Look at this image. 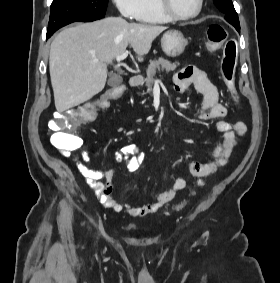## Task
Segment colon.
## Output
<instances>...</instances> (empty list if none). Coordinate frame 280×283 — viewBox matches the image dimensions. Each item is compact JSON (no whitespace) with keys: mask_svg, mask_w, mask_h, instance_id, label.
<instances>
[{"mask_svg":"<svg viewBox=\"0 0 280 283\" xmlns=\"http://www.w3.org/2000/svg\"><path fill=\"white\" fill-rule=\"evenodd\" d=\"M223 46L221 58V77L231 94L236 95L235 72L237 66V43L233 39H227V32L221 25L214 24L207 30L206 48L214 52ZM125 87H105V92H109V99L118 98ZM103 101L94 104L76 107V110H60L59 114H53V119L48 122L53 146L63 153H68L78 149L82 140L75 134L79 124H90L91 120L98 119L96 112H101L100 106ZM183 205V204H182ZM182 205L180 207H182Z\"/></svg>","mask_w":280,"mask_h":283,"instance_id":"obj_1","label":"colon"}]
</instances>
